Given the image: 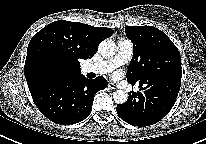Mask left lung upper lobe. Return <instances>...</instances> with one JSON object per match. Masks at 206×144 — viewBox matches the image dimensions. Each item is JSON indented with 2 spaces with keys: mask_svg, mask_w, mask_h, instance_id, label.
I'll list each match as a JSON object with an SVG mask.
<instances>
[{
  "mask_svg": "<svg viewBox=\"0 0 206 144\" xmlns=\"http://www.w3.org/2000/svg\"><path fill=\"white\" fill-rule=\"evenodd\" d=\"M127 38L133 43V57L127 80L146 88L181 86V56L177 47L161 30L153 26H127Z\"/></svg>",
  "mask_w": 206,
  "mask_h": 144,
  "instance_id": "obj_1",
  "label": "left lung upper lobe"
}]
</instances>
